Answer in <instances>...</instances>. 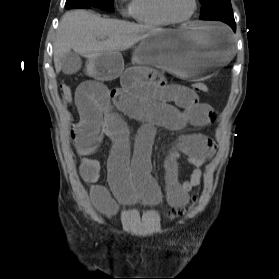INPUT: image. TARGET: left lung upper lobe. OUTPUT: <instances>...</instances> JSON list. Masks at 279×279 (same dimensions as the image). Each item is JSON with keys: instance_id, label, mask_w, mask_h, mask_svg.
I'll return each instance as SVG.
<instances>
[{"instance_id": "5c2ea615", "label": "left lung upper lobe", "mask_w": 279, "mask_h": 279, "mask_svg": "<svg viewBox=\"0 0 279 279\" xmlns=\"http://www.w3.org/2000/svg\"><path fill=\"white\" fill-rule=\"evenodd\" d=\"M202 5L201 20H221L233 17L230 0H199Z\"/></svg>"}]
</instances>
